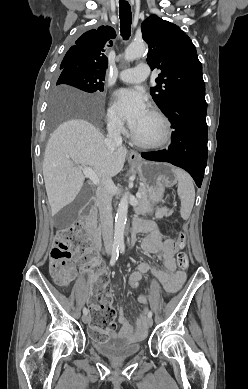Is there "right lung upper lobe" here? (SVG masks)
<instances>
[{
  "label": "right lung upper lobe",
  "mask_w": 248,
  "mask_h": 389,
  "mask_svg": "<svg viewBox=\"0 0 248 389\" xmlns=\"http://www.w3.org/2000/svg\"><path fill=\"white\" fill-rule=\"evenodd\" d=\"M115 37V30L109 26L87 31L68 50L60 67L88 70L105 78L108 67L105 47L112 45L111 39Z\"/></svg>",
  "instance_id": "obj_1"
}]
</instances>
